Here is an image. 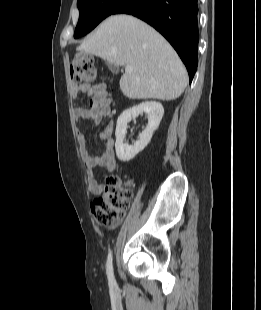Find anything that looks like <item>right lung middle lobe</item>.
Wrapping results in <instances>:
<instances>
[{"label":"right lung middle lobe","mask_w":261,"mask_h":310,"mask_svg":"<svg viewBox=\"0 0 261 310\" xmlns=\"http://www.w3.org/2000/svg\"><path fill=\"white\" fill-rule=\"evenodd\" d=\"M126 0H78L80 17L74 37L79 38L94 29Z\"/></svg>","instance_id":"1"}]
</instances>
